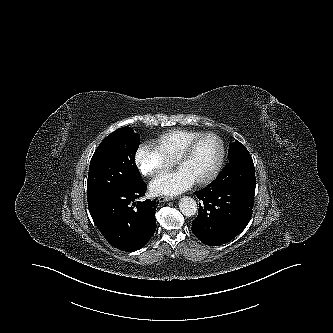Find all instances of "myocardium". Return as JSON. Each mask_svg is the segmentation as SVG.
Masks as SVG:
<instances>
[{"label":"myocardium","mask_w":333,"mask_h":333,"mask_svg":"<svg viewBox=\"0 0 333 333\" xmlns=\"http://www.w3.org/2000/svg\"><path fill=\"white\" fill-rule=\"evenodd\" d=\"M205 137H214L219 142L220 154H219V158H218L213 170L211 171V173L207 177L195 182V184L199 185V186H204V185H208V184L212 183L219 175V173L222 169V166L224 164L225 154H226L225 145H224L223 140L216 133H213V132L201 133L200 135H198L197 137H195L194 139H192L191 141H189L187 143V145L184 147L182 152L179 154V156L175 160L176 166L179 167V165L182 162H184L191 155V153L193 152L196 145Z\"/></svg>","instance_id":"1"}]
</instances>
